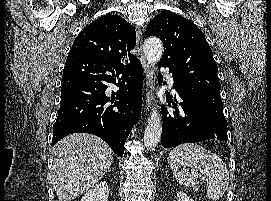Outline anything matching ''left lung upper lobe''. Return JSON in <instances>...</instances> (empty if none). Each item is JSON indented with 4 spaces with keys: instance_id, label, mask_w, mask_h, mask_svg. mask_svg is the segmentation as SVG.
I'll return each instance as SVG.
<instances>
[{
    "instance_id": "5c2ea615",
    "label": "left lung upper lobe",
    "mask_w": 271,
    "mask_h": 201,
    "mask_svg": "<svg viewBox=\"0 0 271 201\" xmlns=\"http://www.w3.org/2000/svg\"><path fill=\"white\" fill-rule=\"evenodd\" d=\"M146 36L162 40L165 52L159 65L168 67L178 80L180 91L204 109L215 133L228 138L218 68L203 32L190 20L163 12L150 21Z\"/></svg>"
}]
</instances>
